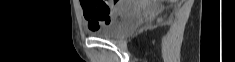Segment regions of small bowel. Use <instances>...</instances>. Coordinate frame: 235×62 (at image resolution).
Segmentation results:
<instances>
[{
    "mask_svg": "<svg viewBox=\"0 0 235 62\" xmlns=\"http://www.w3.org/2000/svg\"><path fill=\"white\" fill-rule=\"evenodd\" d=\"M123 4H120V6H122ZM82 6H83V2H82ZM83 11H84V6H83ZM84 17L85 19L87 20V25H88V28L89 30H95L97 28H99L102 24L104 23H99L97 24L93 19L91 18H88L86 15H85V12H84Z\"/></svg>",
    "mask_w": 235,
    "mask_h": 62,
    "instance_id": "obj_1",
    "label": "small bowel"
}]
</instances>
